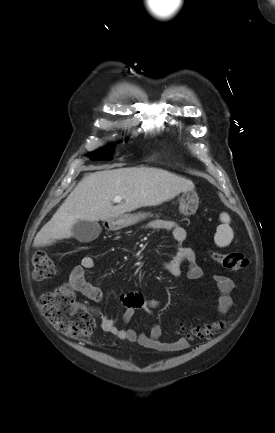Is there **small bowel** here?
I'll return each instance as SVG.
<instances>
[{"mask_svg":"<svg viewBox=\"0 0 275 433\" xmlns=\"http://www.w3.org/2000/svg\"><path fill=\"white\" fill-rule=\"evenodd\" d=\"M161 229L170 231L173 239L177 243L175 255L171 260L164 264V269L171 275L177 276L182 272L184 263L188 264L187 276L189 279L196 280L201 278L203 271L197 263L196 252L191 247L184 245L186 240L185 230L171 222H163L156 225ZM95 260L90 255H85L81 258L80 264L76 265L70 272L67 283L84 297L101 303L104 295L102 290L95 285L87 276L86 271L94 268ZM220 296L218 299V311L223 315L228 312L232 305L231 292L234 288L233 281L230 277L222 274L213 276ZM122 304L125 306V312L121 317V322L126 324L134 316L137 310L149 312L152 303L146 299L140 291H132L121 294L119 297ZM100 327L103 331L112 334L120 340H125L131 343H137L140 346L154 350L157 352H176L188 348V340L180 337L174 341H161L162 329L160 325L153 324L149 334L138 333L135 329H122L117 326V321L104 315L101 311L95 309Z\"/></svg>","mask_w":275,"mask_h":433,"instance_id":"c3829d8e","label":"small bowel"}]
</instances>
